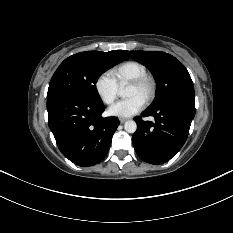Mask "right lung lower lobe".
Here are the masks:
<instances>
[{"instance_id": "1", "label": "right lung lower lobe", "mask_w": 233, "mask_h": 233, "mask_svg": "<svg viewBox=\"0 0 233 233\" xmlns=\"http://www.w3.org/2000/svg\"><path fill=\"white\" fill-rule=\"evenodd\" d=\"M104 109L70 96L47 98L49 127L62 154L74 164L92 166L107 155L119 121L101 117Z\"/></svg>"}]
</instances>
